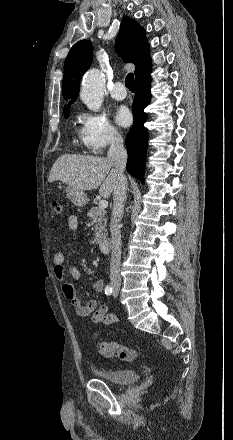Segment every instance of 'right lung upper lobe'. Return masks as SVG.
Returning a JSON list of instances; mask_svg holds the SVG:
<instances>
[{
    "label": "right lung upper lobe",
    "mask_w": 233,
    "mask_h": 440,
    "mask_svg": "<svg viewBox=\"0 0 233 440\" xmlns=\"http://www.w3.org/2000/svg\"><path fill=\"white\" fill-rule=\"evenodd\" d=\"M115 48L127 63H134L135 81L150 72L151 58L145 31L134 20L124 17ZM93 46L88 40L77 42L70 50L64 63L63 97L70 99L63 110L70 107L78 97L79 79L92 62Z\"/></svg>",
    "instance_id": "right-lung-upper-lobe-1"
}]
</instances>
